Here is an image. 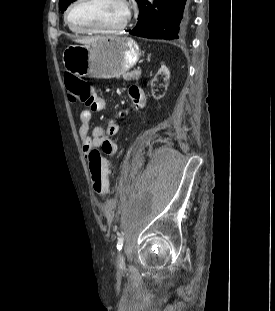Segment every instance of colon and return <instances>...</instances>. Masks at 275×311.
<instances>
[{"label": "colon", "instance_id": "colon-1", "mask_svg": "<svg viewBox=\"0 0 275 311\" xmlns=\"http://www.w3.org/2000/svg\"><path fill=\"white\" fill-rule=\"evenodd\" d=\"M65 86L68 97L73 104L88 105L94 100L93 87L72 74H65ZM108 160L103 158L98 151L94 150L90 155V173L94 191L103 195L109 190Z\"/></svg>", "mask_w": 275, "mask_h": 311}]
</instances>
